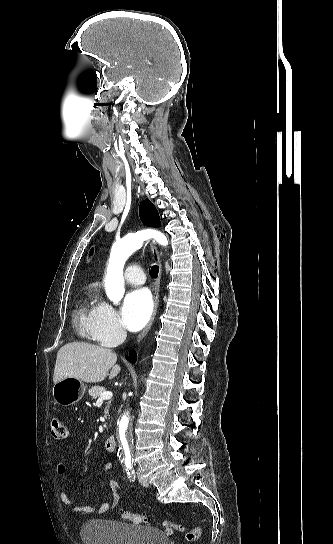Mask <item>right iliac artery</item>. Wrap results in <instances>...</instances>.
I'll return each instance as SVG.
<instances>
[{"mask_svg": "<svg viewBox=\"0 0 333 544\" xmlns=\"http://www.w3.org/2000/svg\"><path fill=\"white\" fill-rule=\"evenodd\" d=\"M131 468H132V466L130 465V463H127V464H126V471H127V474H128V475L130 474Z\"/></svg>", "mask_w": 333, "mask_h": 544, "instance_id": "obj_1", "label": "right iliac artery"}]
</instances>
